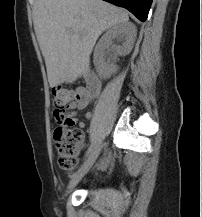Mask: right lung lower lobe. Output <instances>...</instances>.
Segmentation results:
<instances>
[{
	"label": "right lung lower lobe",
	"mask_w": 202,
	"mask_h": 217,
	"mask_svg": "<svg viewBox=\"0 0 202 217\" xmlns=\"http://www.w3.org/2000/svg\"><path fill=\"white\" fill-rule=\"evenodd\" d=\"M116 6L124 7L133 13L136 18L144 22L152 4V0H104Z\"/></svg>",
	"instance_id": "98d812e1"
}]
</instances>
